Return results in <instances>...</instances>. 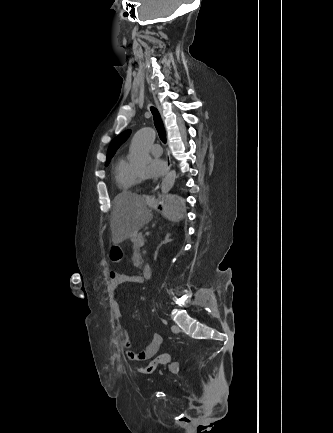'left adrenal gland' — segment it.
<instances>
[{
  "label": "left adrenal gland",
  "instance_id": "1",
  "mask_svg": "<svg viewBox=\"0 0 333 433\" xmlns=\"http://www.w3.org/2000/svg\"><path fill=\"white\" fill-rule=\"evenodd\" d=\"M171 234L167 233L164 240L159 244V246L157 247L156 251H155V255L158 253V250L161 248L162 245L167 244L169 242H172V239L170 238Z\"/></svg>",
  "mask_w": 333,
  "mask_h": 433
}]
</instances>
